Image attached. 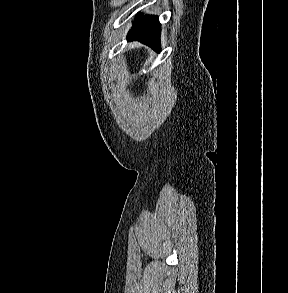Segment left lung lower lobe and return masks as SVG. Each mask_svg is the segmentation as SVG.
<instances>
[{
    "instance_id": "1",
    "label": "left lung lower lobe",
    "mask_w": 288,
    "mask_h": 293,
    "mask_svg": "<svg viewBox=\"0 0 288 293\" xmlns=\"http://www.w3.org/2000/svg\"><path fill=\"white\" fill-rule=\"evenodd\" d=\"M160 23L157 16H138L127 40H137L151 46L156 51L160 50Z\"/></svg>"
}]
</instances>
